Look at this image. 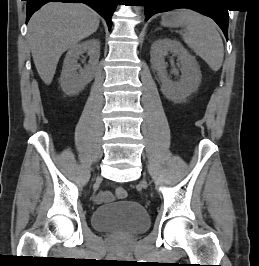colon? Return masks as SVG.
Returning a JSON list of instances; mask_svg holds the SVG:
<instances>
[{
	"label": "colon",
	"mask_w": 259,
	"mask_h": 266,
	"mask_svg": "<svg viewBox=\"0 0 259 266\" xmlns=\"http://www.w3.org/2000/svg\"><path fill=\"white\" fill-rule=\"evenodd\" d=\"M115 194L118 199H124L127 196V191L123 187H118L115 190Z\"/></svg>",
	"instance_id": "5ec220e1"
}]
</instances>
